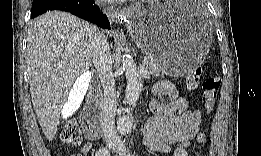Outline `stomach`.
<instances>
[{
    "instance_id": "obj_1",
    "label": "stomach",
    "mask_w": 261,
    "mask_h": 156,
    "mask_svg": "<svg viewBox=\"0 0 261 156\" xmlns=\"http://www.w3.org/2000/svg\"><path fill=\"white\" fill-rule=\"evenodd\" d=\"M125 22L137 45L169 75L188 74L204 60L211 46V23L194 13L189 3H136Z\"/></svg>"
}]
</instances>
